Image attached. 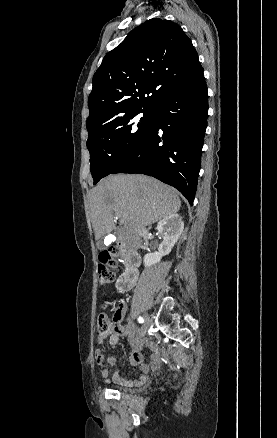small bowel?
<instances>
[{
	"instance_id": "small-bowel-1",
	"label": "small bowel",
	"mask_w": 277,
	"mask_h": 438,
	"mask_svg": "<svg viewBox=\"0 0 277 438\" xmlns=\"http://www.w3.org/2000/svg\"><path fill=\"white\" fill-rule=\"evenodd\" d=\"M120 311L121 313H125L127 306L125 303H121L120 305ZM134 331V326L132 325H117L111 328V330L107 334H100L98 337V340L100 342H103L105 339H108L111 345H116L118 340L122 335L131 334ZM140 343H135L133 346V352L130 358V361L133 365L140 364L142 361V355L140 354ZM150 348L152 350V364L146 365L141 364L142 374L137 380H125L118 376L117 372L114 374V380L117 384L122 386H142L147 381V373L149 370L158 367H161L163 365V362L160 360L159 350L158 347L154 344H150ZM94 353L96 355L95 360L98 362L99 367L105 366L104 357L102 355L103 350L100 347L95 348ZM113 362V361H112ZM113 369H116V366H113ZM100 374L102 376H106L107 371L105 369H102L100 371Z\"/></svg>"
}]
</instances>
